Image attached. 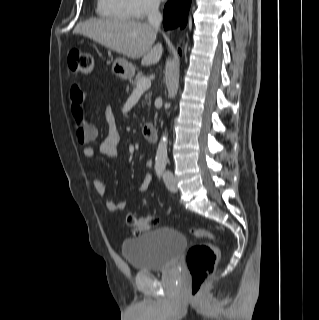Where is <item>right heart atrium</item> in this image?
Returning a JSON list of instances; mask_svg holds the SVG:
<instances>
[{
  "label": "right heart atrium",
  "mask_w": 319,
  "mask_h": 320,
  "mask_svg": "<svg viewBox=\"0 0 319 320\" xmlns=\"http://www.w3.org/2000/svg\"><path fill=\"white\" fill-rule=\"evenodd\" d=\"M134 18H145L159 9V0H127Z\"/></svg>",
  "instance_id": "obj_1"
}]
</instances>
